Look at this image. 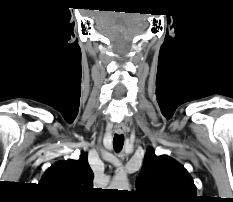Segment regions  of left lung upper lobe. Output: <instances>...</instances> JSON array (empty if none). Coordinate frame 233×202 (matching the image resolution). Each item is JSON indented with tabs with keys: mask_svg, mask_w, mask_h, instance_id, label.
<instances>
[{
	"mask_svg": "<svg viewBox=\"0 0 233 202\" xmlns=\"http://www.w3.org/2000/svg\"><path fill=\"white\" fill-rule=\"evenodd\" d=\"M144 202H196V186L188 171L167 155L148 150L136 182Z\"/></svg>",
	"mask_w": 233,
	"mask_h": 202,
	"instance_id": "5c2ea615",
	"label": "left lung upper lobe"
}]
</instances>
